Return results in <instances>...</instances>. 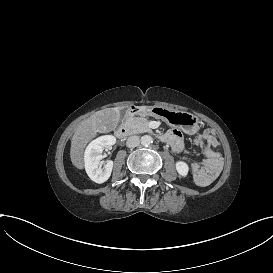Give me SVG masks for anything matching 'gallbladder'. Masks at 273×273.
Segmentation results:
<instances>
[{"label":"gallbladder","instance_id":"gallbladder-1","mask_svg":"<svg viewBox=\"0 0 273 273\" xmlns=\"http://www.w3.org/2000/svg\"><path fill=\"white\" fill-rule=\"evenodd\" d=\"M133 110H134V109H133ZM118 111H119V113H118V115H117L118 118L121 119V120L125 119L126 116H127V115H126V111H127L126 108L122 106V107L119 108ZM128 111H129V110H128Z\"/></svg>","mask_w":273,"mask_h":273}]
</instances>
